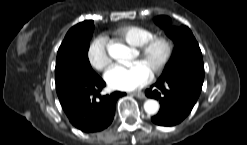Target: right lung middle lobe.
<instances>
[{"instance_id":"1","label":"right lung middle lobe","mask_w":247,"mask_h":145,"mask_svg":"<svg viewBox=\"0 0 247 145\" xmlns=\"http://www.w3.org/2000/svg\"><path fill=\"white\" fill-rule=\"evenodd\" d=\"M94 30V23L72 27L66 34L57 53L55 67L56 85L76 77H93L88 60L89 42Z\"/></svg>"}]
</instances>
